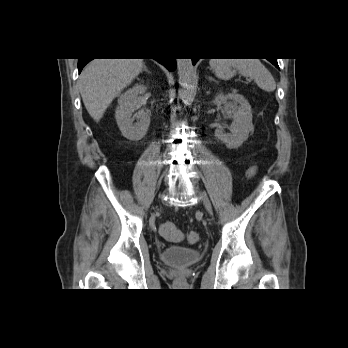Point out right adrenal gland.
<instances>
[{"label":"right adrenal gland","mask_w":348,"mask_h":348,"mask_svg":"<svg viewBox=\"0 0 348 348\" xmlns=\"http://www.w3.org/2000/svg\"><path fill=\"white\" fill-rule=\"evenodd\" d=\"M143 70L147 73H150V71L147 69V67L145 65L143 66Z\"/></svg>","instance_id":"obj_1"}]
</instances>
